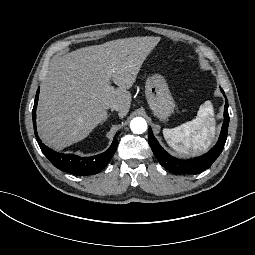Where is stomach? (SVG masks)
Here are the masks:
<instances>
[{"mask_svg":"<svg viewBox=\"0 0 255 255\" xmlns=\"http://www.w3.org/2000/svg\"><path fill=\"white\" fill-rule=\"evenodd\" d=\"M145 97L154 115L166 122L175 109V103L162 76L153 75L146 81Z\"/></svg>","mask_w":255,"mask_h":255,"instance_id":"obj_1","label":"stomach"}]
</instances>
